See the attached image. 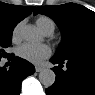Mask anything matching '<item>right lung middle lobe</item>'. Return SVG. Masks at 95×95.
<instances>
[{"label": "right lung middle lobe", "mask_w": 95, "mask_h": 95, "mask_svg": "<svg viewBox=\"0 0 95 95\" xmlns=\"http://www.w3.org/2000/svg\"><path fill=\"white\" fill-rule=\"evenodd\" d=\"M13 29L14 26H0V59L5 54L3 49L11 45Z\"/></svg>", "instance_id": "1"}]
</instances>
